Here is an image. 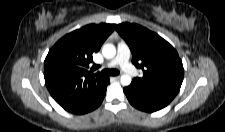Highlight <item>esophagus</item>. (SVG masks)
Wrapping results in <instances>:
<instances>
[{"instance_id": "1", "label": "esophagus", "mask_w": 225, "mask_h": 132, "mask_svg": "<svg viewBox=\"0 0 225 132\" xmlns=\"http://www.w3.org/2000/svg\"><path fill=\"white\" fill-rule=\"evenodd\" d=\"M112 79L115 80V81H118L120 79V77L119 76H114V77H112Z\"/></svg>"}]
</instances>
